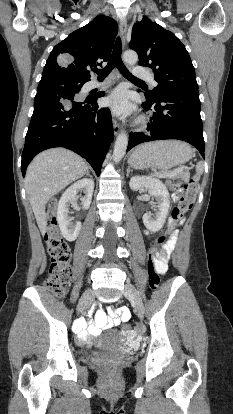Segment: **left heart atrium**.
Wrapping results in <instances>:
<instances>
[{
	"label": "left heart atrium",
	"instance_id": "1",
	"mask_svg": "<svg viewBox=\"0 0 233 414\" xmlns=\"http://www.w3.org/2000/svg\"><path fill=\"white\" fill-rule=\"evenodd\" d=\"M105 104L115 113L126 115L132 112L133 107L128 100V94L123 89L113 91L105 100Z\"/></svg>",
	"mask_w": 233,
	"mask_h": 414
}]
</instances>
